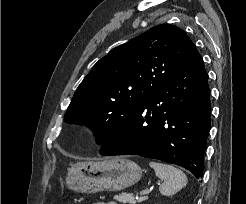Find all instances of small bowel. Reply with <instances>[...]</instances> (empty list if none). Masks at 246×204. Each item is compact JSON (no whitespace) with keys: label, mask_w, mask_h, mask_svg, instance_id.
Returning a JSON list of instances; mask_svg holds the SVG:
<instances>
[{"label":"small bowel","mask_w":246,"mask_h":204,"mask_svg":"<svg viewBox=\"0 0 246 204\" xmlns=\"http://www.w3.org/2000/svg\"><path fill=\"white\" fill-rule=\"evenodd\" d=\"M94 204H117V203L116 202H108V203L98 202V203H94Z\"/></svg>","instance_id":"c3829d8e"}]
</instances>
